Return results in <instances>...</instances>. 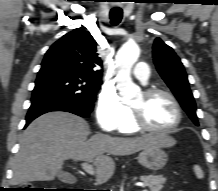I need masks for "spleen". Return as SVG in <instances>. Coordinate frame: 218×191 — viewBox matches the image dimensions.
I'll list each match as a JSON object with an SVG mask.
<instances>
[{
    "mask_svg": "<svg viewBox=\"0 0 218 191\" xmlns=\"http://www.w3.org/2000/svg\"><path fill=\"white\" fill-rule=\"evenodd\" d=\"M194 171H195L197 178L202 179L204 177L203 171L201 170L199 166L195 165Z\"/></svg>",
    "mask_w": 218,
    "mask_h": 191,
    "instance_id": "obj_1",
    "label": "spleen"
}]
</instances>
